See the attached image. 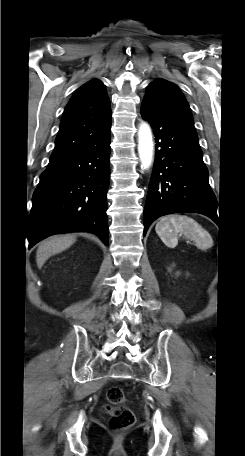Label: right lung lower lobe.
I'll list each match as a JSON object with an SVG mask.
<instances>
[{
  "mask_svg": "<svg viewBox=\"0 0 245 456\" xmlns=\"http://www.w3.org/2000/svg\"><path fill=\"white\" fill-rule=\"evenodd\" d=\"M110 129L90 146L49 160L33 194L29 248L50 235L74 231L95 233L108 245Z\"/></svg>",
  "mask_w": 245,
  "mask_h": 456,
  "instance_id": "1",
  "label": "right lung lower lobe"
}]
</instances>
